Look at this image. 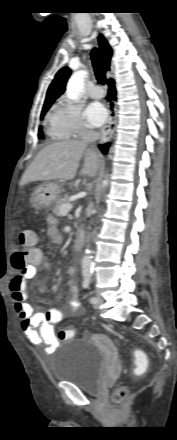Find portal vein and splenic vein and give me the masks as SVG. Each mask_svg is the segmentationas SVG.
<instances>
[{
  "label": "portal vein and splenic vein",
  "instance_id": "obj_1",
  "mask_svg": "<svg viewBox=\"0 0 177 440\" xmlns=\"http://www.w3.org/2000/svg\"><path fill=\"white\" fill-rule=\"evenodd\" d=\"M72 208H73V205L70 203H66V204L62 205V207L60 208L61 216H66Z\"/></svg>",
  "mask_w": 177,
  "mask_h": 440
}]
</instances>
